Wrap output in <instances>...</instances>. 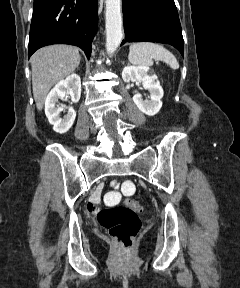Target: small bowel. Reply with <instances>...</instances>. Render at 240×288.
I'll list each match as a JSON object with an SVG mask.
<instances>
[{"mask_svg": "<svg viewBox=\"0 0 240 288\" xmlns=\"http://www.w3.org/2000/svg\"><path fill=\"white\" fill-rule=\"evenodd\" d=\"M115 187L118 188V185L115 184ZM99 199H100V190H97V191L94 193L93 197H92V203H91V205H90V209H91L92 211H95V206H94V204H97V203L99 202Z\"/></svg>", "mask_w": 240, "mask_h": 288, "instance_id": "1", "label": "small bowel"}]
</instances>
